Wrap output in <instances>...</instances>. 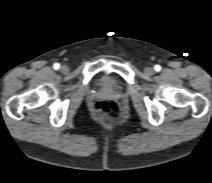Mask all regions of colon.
<instances>
[{
  "mask_svg": "<svg viewBox=\"0 0 212 183\" xmlns=\"http://www.w3.org/2000/svg\"><path fill=\"white\" fill-rule=\"evenodd\" d=\"M95 115L105 122L114 124L121 120L122 112L119 104L114 100L104 99L93 105Z\"/></svg>",
  "mask_w": 212,
  "mask_h": 183,
  "instance_id": "5ec220e1",
  "label": "colon"
}]
</instances>
